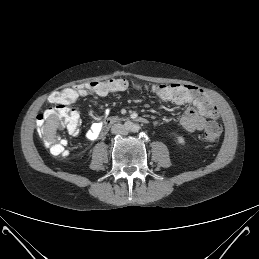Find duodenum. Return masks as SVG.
Listing matches in <instances>:
<instances>
[{
    "label": "duodenum",
    "instance_id": "410a0bca",
    "mask_svg": "<svg viewBox=\"0 0 259 259\" xmlns=\"http://www.w3.org/2000/svg\"><path fill=\"white\" fill-rule=\"evenodd\" d=\"M119 122H124L125 124H130L132 122L146 124V123H148V119L145 117H142V116L122 117V118L121 117H110L102 123L101 134L106 133L110 129L111 126H113Z\"/></svg>",
    "mask_w": 259,
    "mask_h": 259
}]
</instances>
